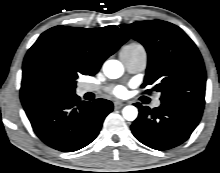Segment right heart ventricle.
<instances>
[{
	"label": "right heart ventricle",
	"mask_w": 220,
	"mask_h": 173,
	"mask_svg": "<svg viewBox=\"0 0 220 173\" xmlns=\"http://www.w3.org/2000/svg\"><path fill=\"white\" fill-rule=\"evenodd\" d=\"M124 51H138L143 50V47L137 43L130 44L123 48Z\"/></svg>",
	"instance_id": "obj_1"
}]
</instances>
